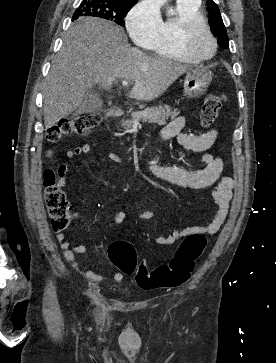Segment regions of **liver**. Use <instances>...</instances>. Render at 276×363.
Masks as SVG:
<instances>
[{
    "label": "liver",
    "mask_w": 276,
    "mask_h": 363,
    "mask_svg": "<svg viewBox=\"0 0 276 363\" xmlns=\"http://www.w3.org/2000/svg\"><path fill=\"white\" fill-rule=\"evenodd\" d=\"M188 65L151 57L128 44L122 27L82 17L64 34L43 88L46 129L75 111L94 85L110 90L114 81H133L128 97L151 101L161 96Z\"/></svg>",
    "instance_id": "6515ba94"
}]
</instances>
